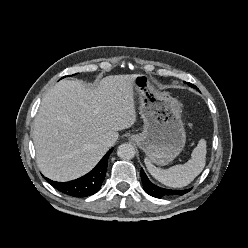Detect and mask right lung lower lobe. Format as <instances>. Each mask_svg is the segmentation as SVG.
<instances>
[{"instance_id": "98d812e1", "label": "right lung lower lobe", "mask_w": 248, "mask_h": 248, "mask_svg": "<svg viewBox=\"0 0 248 248\" xmlns=\"http://www.w3.org/2000/svg\"><path fill=\"white\" fill-rule=\"evenodd\" d=\"M111 148L100 160L96 167L88 174L70 182H56L44 177L54 188L60 192L74 197H87L96 193L106 175L108 158L112 152Z\"/></svg>"}]
</instances>
